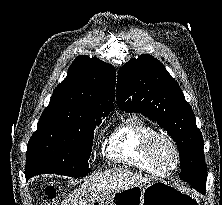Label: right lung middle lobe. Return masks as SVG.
<instances>
[{
  "label": "right lung middle lobe",
  "instance_id": "obj_1",
  "mask_svg": "<svg viewBox=\"0 0 222 205\" xmlns=\"http://www.w3.org/2000/svg\"><path fill=\"white\" fill-rule=\"evenodd\" d=\"M102 120L40 119L27 145L25 174L87 175L94 130Z\"/></svg>",
  "mask_w": 222,
  "mask_h": 205
}]
</instances>
